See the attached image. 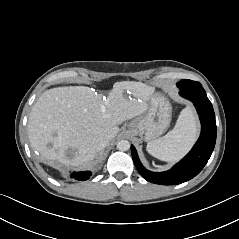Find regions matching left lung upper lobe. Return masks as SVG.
Wrapping results in <instances>:
<instances>
[{
	"label": "left lung upper lobe",
	"instance_id": "obj_1",
	"mask_svg": "<svg viewBox=\"0 0 239 239\" xmlns=\"http://www.w3.org/2000/svg\"><path fill=\"white\" fill-rule=\"evenodd\" d=\"M179 88H191L193 86H201L199 82L192 81V80H181L177 83Z\"/></svg>",
	"mask_w": 239,
	"mask_h": 239
}]
</instances>
